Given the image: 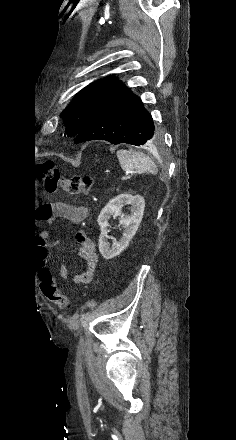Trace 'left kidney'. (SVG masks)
I'll return each instance as SVG.
<instances>
[{"mask_svg":"<svg viewBox=\"0 0 236 440\" xmlns=\"http://www.w3.org/2000/svg\"><path fill=\"white\" fill-rule=\"evenodd\" d=\"M124 204L131 205V214L124 215L121 208ZM145 200L140 195L120 194L111 199L109 203L100 212L97 222L100 226L99 251L103 258L109 260L119 255L135 235L143 218ZM111 216H120V225L124 231L119 241H115L110 248L107 243V234L109 232L108 220Z\"/></svg>","mask_w":236,"mask_h":440,"instance_id":"5707ae66","label":"left kidney"}]
</instances>
